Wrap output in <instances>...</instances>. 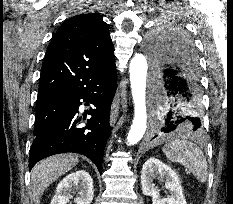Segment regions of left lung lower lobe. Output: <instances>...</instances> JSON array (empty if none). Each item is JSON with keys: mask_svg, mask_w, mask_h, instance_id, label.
I'll list each match as a JSON object with an SVG mask.
<instances>
[{"mask_svg": "<svg viewBox=\"0 0 233 204\" xmlns=\"http://www.w3.org/2000/svg\"><path fill=\"white\" fill-rule=\"evenodd\" d=\"M152 88L158 98L152 127L155 137L176 131H202L199 72L192 58L170 52L167 60L154 68Z\"/></svg>", "mask_w": 233, "mask_h": 204, "instance_id": "left-lung-lower-lobe-1", "label": "left lung lower lobe"}]
</instances>
